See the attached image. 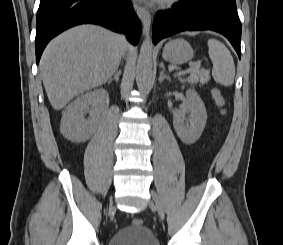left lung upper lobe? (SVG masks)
Masks as SVG:
<instances>
[{"label":"left lung upper lobe","instance_id":"5c2ea615","mask_svg":"<svg viewBox=\"0 0 283 245\" xmlns=\"http://www.w3.org/2000/svg\"><path fill=\"white\" fill-rule=\"evenodd\" d=\"M188 1H193V2H201V1H221V2H226L230 4L236 5V0H188Z\"/></svg>","mask_w":283,"mask_h":245}]
</instances>
